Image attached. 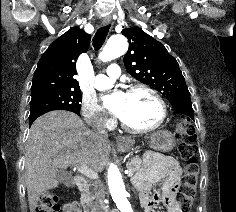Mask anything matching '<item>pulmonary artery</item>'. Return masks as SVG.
Here are the masks:
<instances>
[{"instance_id":"e3ab8cb5","label":"pulmonary artery","mask_w":236,"mask_h":212,"mask_svg":"<svg viewBox=\"0 0 236 212\" xmlns=\"http://www.w3.org/2000/svg\"><path fill=\"white\" fill-rule=\"evenodd\" d=\"M121 69L118 64H111L106 70V74H99L95 78V87L98 89H107L113 85L120 76Z\"/></svg>"}]
</instances>
